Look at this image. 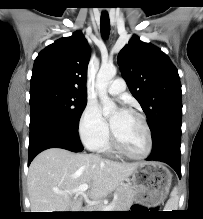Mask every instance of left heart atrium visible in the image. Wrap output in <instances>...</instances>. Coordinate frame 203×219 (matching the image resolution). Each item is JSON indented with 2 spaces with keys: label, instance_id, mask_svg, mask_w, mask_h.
Wrapping results in <instances>:
<instances>
[{
  "label": "left heart atrium",
  "instance_id": "obj_1",
  "mask_svg": "<svg viewBox=\"0 0 203 219\" xmlns=\"http://www.w3.org/2000/svg\"><path fill=\"white\" fill-rule=\"evenodd\" d=\"M127 111L125 109L120 110V114H125Z\"/></svg>",
  "mask_w": 203,
  "mask_h": 219
}]
</instances>
